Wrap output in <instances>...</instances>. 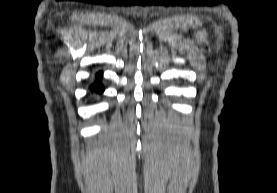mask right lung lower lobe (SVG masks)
Instances as JSON below:
<instances>
[{
  "mask_svg": "<svg viewBox=\"0 0 277 193\" xmlns=\"http://www.w3.org/2000/svg\"><path fill=\"white\" fill-rule=\"evenodd\" d=\"M101 76H102V73H101V72L97 73V75H96V77H97L98 79L101 78ZM91 90H92V91H95V92L101 93V92L104 91V87L101 85L100 82H96L94 85L91 86Z\"/></svg>",
  "mask_w": 277,
  "mask_h": 193,
  "instance_id": "1",
  "label": "right lung lower lobe"
}]
</instances>
